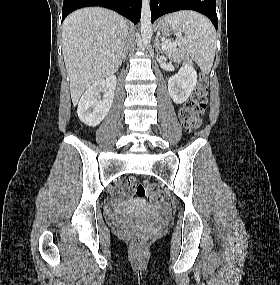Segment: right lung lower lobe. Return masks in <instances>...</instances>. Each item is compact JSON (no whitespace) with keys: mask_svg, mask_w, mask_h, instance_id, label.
Listing matches in <instances>:
<instances>
[{"mask_svg":"<svg viewBox=\"0 0 280 285\" xmlns=\"http://www.w3.org/2000/svg\"><path fill=\"white\" fill-rule=\"evenodd\" d=\"M142 0H64L62 21L72 11L89 6H101L117 11L137 24L140 20Z\"/></svg>","mask_w":280,"mask_h":285,"instance_id":"98d812e1","label":"right lung lower lobe"}]
</instances>
